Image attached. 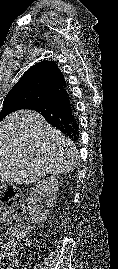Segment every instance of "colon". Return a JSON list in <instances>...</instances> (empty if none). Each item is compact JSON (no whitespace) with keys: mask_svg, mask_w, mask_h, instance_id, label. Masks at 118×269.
<instances>
[{"mask_svg":"<svg viewBox=\"0 0 118 269\" xmlns=\"http://www.w3.org/2000/svg\"><path fill=\"white\" fill-rule=\"evenodd\" d=\"M0 201L7 205L12 223L9 237L0 240V269H16L18 249L26 243V208L22 194L12 186L0 184Z\"/></svg>","mask_w":118,"mask_h":269,"instance_id":"colon-1","label":"colon"}]
</instances>
